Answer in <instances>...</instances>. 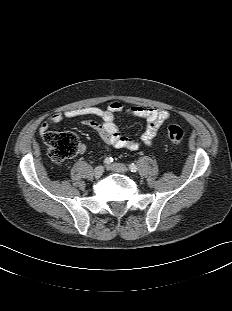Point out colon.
I'll return each mask as SVG.
<instances>
[{"mask_svg":"<svg viewBox=\"0 0 232 311\" xmlns=\"http://www.w3.org/2000/svg\"><path fill=\"white\" fill-rule=\"evenodd\" d=\"M184 133L178 125H171L168 128V137L173 144H179ZM45 143L49 149V156L53 163L61 164L73 157L79 148V141L75 134L70 132H48Z\"/></svg>","mask_w":232,"mask_h":311,"instance_id":"obj_1","label":"colon"}]
</instances>
